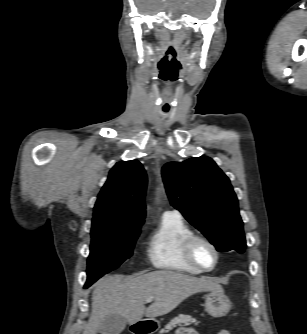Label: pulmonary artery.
Segmentation results:
<instances>
[{
    "instance_id": "e3ab8cb5",
    "label": "pulmonary artery",
    "mask_w": 307,
    "mask_h": 334,
    "mask_svg": "<svg viewBox=\"0 0 307 334\" xmlns=\"http://www.w3.org/2000/svg\"><path fill=\"white\" fill-rule=\"evenodd\" d=\"M163 215H174V216H177V217H181L180 212L175 210V209H168L163 213Z\"/></svg>"
}]
</instances>
